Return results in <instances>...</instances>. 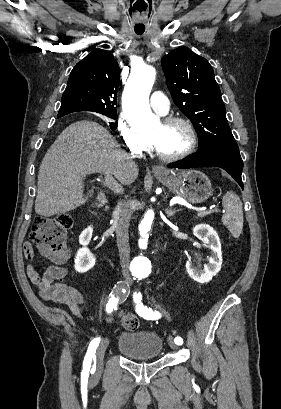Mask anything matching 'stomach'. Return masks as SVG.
Returning <instances> with one entry per match:
<instances>
[{
    "mask_svg": "<svg viewBox=\"0 0 281 409\" xmlns=\"http://www.w3.org/2000/svg\"><path fill=\"white\" fill-rule=\"evenodd\" d=\"M171 192L187 198L188 202H204L212 194V184L210 178L193 168L185 170H175L168 176H158Z\"/></svg>",
    "mask_w": 281,
    "mask_h": 409,
    "instance_id": "0dacf381",
    "label": "stomach"
}]
</instances>
